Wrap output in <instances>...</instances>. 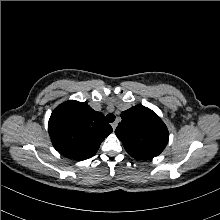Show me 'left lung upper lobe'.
<instances>
[{
  "label": "left lung upper lobe",
  "instance_id": "obj_1",
  "mask_svg": "<svg viewBox=\"0 0 220 220\" xmlns=\"http://www.w3.org/2000/svg\"><path fill=\"white\" fill-rule=\"evenodd\" d=\"M121 118L115 133L130 156L136 159H151L164 150L169 133L154 111L136 105L123 111Z\"/></svg>",
  "mask_w": 220,
  "mask_h": 220
}]
</instances>
